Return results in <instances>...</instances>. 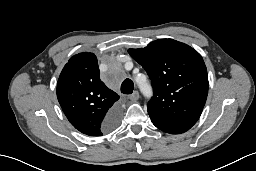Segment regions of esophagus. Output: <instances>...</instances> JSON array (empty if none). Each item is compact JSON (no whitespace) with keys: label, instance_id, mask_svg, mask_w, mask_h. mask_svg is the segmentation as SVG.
<instances>
[{"label":"esophagus","instance_id":"1","mask_svg":"<svg viewBox=\"0 0 256 171\" xmlns=\"http://www.w3.org/2000/svg\"><path fill=\"white\" fill-rule=\"evenodd\" d=\"M129 99L133 102L137 101L139 99V92L134 91L130 96Z\"/></svg>","mask_w":256,"mask_h":171}]
</instances>
